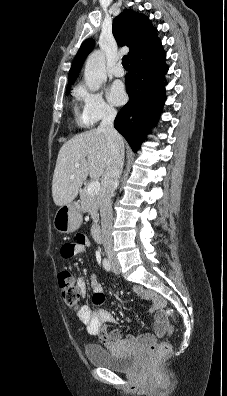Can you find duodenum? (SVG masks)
Here are the masks:
<instances>
[{
	"label": "duodenum",
	"mask_w": 227,
	"mask_h": 396,
	"mask_svg": "<svg viewBox=\"0 0 227 396\" xmlns=\"http://www.w3.org/2000/svg\"><path fill=\"white\" fill-rule=\"evenodd\" d=\"M92 236L96 242L102 241L103 237L100 225L96 224L92 227Z\"/></svg>",
	"instance_id": "410a0bca"
}]
</instances>
